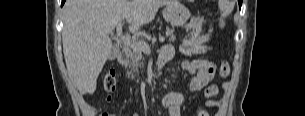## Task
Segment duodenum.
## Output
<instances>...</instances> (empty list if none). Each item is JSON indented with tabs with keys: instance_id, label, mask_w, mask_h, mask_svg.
I'll return each instance as SVG.
<instances>
[{
	"instance_id": "obj_1",
	"label": "duodenum",
	"mask_w": 305,
	"mask_h": 116,
	"mask_svg": "<svg viewBox=\"0 0 305 116\" xmlns=\"http://www.w3.org/2000/svg\"><path fill=\"white\" fill-rule=\"evenodd\" d=\"M128 61H129V55L126 52H122L118 57V63L121 66H125L127 65ZM166 62H167L166 60L159 61V66L160 67L164 66Z\"/></svg>"
}]
</instances>
